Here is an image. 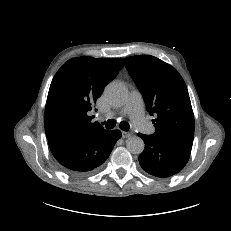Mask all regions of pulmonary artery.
Segmentation results:
<instances>
[{"label":"pulmonary artery","mask_w":231,"mask_h":231,"mask_svg":"<svg viewBox=\"0 0 231 231\" xmlns=\"http://www.w3.org/2000/svg\"><path fill=\"white\" fill-rule=\"evenodd\" d=\"M121 112L124 115H128L131 118L134 126L141 132L146 134L155 133L154 126L150 124L145 118L143 99L138 90H133L130 93V96ZM111 116L112 114L108 115V117Z\"/></svg>","instance_id":"e3ab8cb5"}]
</instances>
